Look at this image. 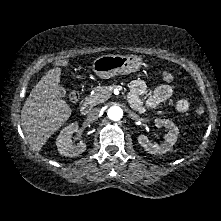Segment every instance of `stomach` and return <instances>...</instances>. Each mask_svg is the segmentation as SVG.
I'll list each match as a JSON object with an SVG mask.
<instances>
[{
    "label": "stomach",
    "instance_id": "1",
    "mask_svg": "<svg viewBox=\"0 0 221 221\" xmlns=\"http://www.w3.org/2000/svg\"><path fill=\"white\" fill-rule=\"evenodd\" d=\"M141 65L142 59L137 55H103L93 61L92 69L98 77L109 79L135 72Z\"/></svg>",
    "mask_w": 221,
    "mask_h": 221
}]
</instances>
